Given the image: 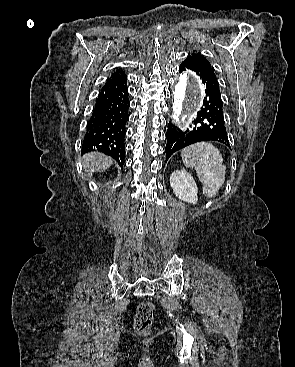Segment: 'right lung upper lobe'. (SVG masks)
I'll return each instance as SVG.
<instances>
[{"label": "right lung upper lobe", "mask_w": 295, "mask_h": 367, "mask_svg": "<svg viewBox=\"0 0 295 367\" xmlns=\"http://www.w3.org/2000/svg\"><path fill=\"white\" fill-rule=\"evenodd\" d=\"M120 78H125L124 71H116L110 77V79H120Z\"/></svg>", "instance_id": "1"}]
</instances>
